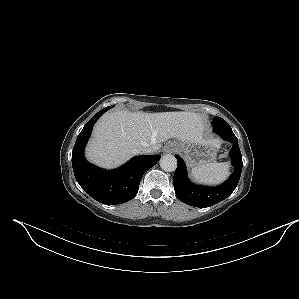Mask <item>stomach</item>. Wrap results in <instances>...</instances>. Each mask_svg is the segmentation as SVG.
<instances>
[{
    "label": "stomach",
    "instance_id": "stomach-1",
    "mask_svg": "<svg viewBox=\"0 0 299 299\" xmlns=\"http://www.w3.org/2000/svg\"><path fill=\"white\" fill-rule=\"evenodd\" d=\"M176 151L183 153L192 167L210 163L215 160L220 146L215 139H201L194 142H175Z\"/></svg>",
    "mask_w": 299,
    "mask_h": 299
}]
</instances>
